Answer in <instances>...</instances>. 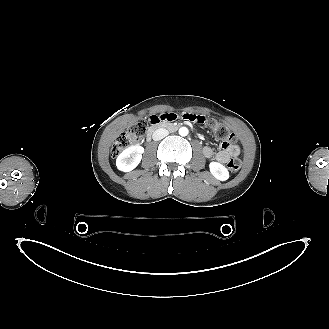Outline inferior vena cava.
I'll return each mask as SVG.
<instances>
[{
  "instance_id": "inferior-vena-cava-1",
  "label": "inferior vena cava",
  "mask_w": 329,
  "mask_h": 329,
  "mask_svg": "<svg viewBox=\"0 0 329 329\" xmlns=\"http://www.w3.org/2000/svg\"><path fill=\"white\" fill-rule=\"evenodd\" d=\"M168 134H169L168 130H166L164 128H159L154 131L152 138L154 141H159V140L163 139L164 137H166Z\"/></svg>"
}]
</instances>
